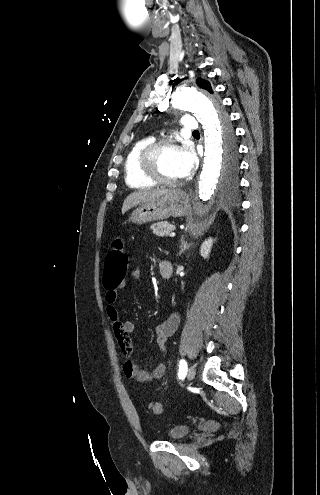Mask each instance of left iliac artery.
<instances>
[{"label": "left iliac artery", "mask_w": 320, "mask_h": 495, "mask_svg": "<svg viewBox=\"0 0 320 495\" xmlns=\"http://www.w3.org/2000/svg\"><path fill=\"white\" fill-rule=\"evenodd\" d=\"M186 373H187V363L184 359H181L179 361V372H178L179 378L185 377Z\"/></svg>", "instance_id": "left-iliac-artery-1"}]
</instances>
